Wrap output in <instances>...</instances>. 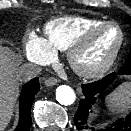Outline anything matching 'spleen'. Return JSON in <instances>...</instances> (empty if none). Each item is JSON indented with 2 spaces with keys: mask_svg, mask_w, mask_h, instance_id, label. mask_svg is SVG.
<instances>
[{
  "mask_svg": "<svg viewBox=\"0 0 131 131\" xmlns=\"http://www.w3.org/2000/svg\"><path fill=\"white\" fill-rule=\"evenodd\" d=\"M105 103L112 111L122 112L131 106V83H123L105 98Z\"/></svg>",
  "mask_w": 131,
  "mask_h": 131,
  "instance_id": "1",
  "label": "spleen"
}]
</instances>
